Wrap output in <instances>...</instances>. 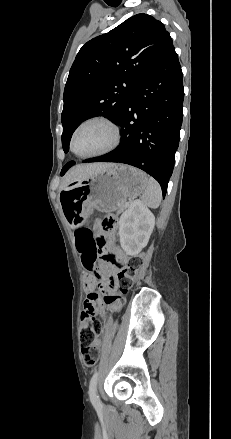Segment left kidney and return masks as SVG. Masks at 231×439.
<instances>
[{"label": "left kidney", "mask_w": 231, "mask_h": 439, "mask_svg": "<svg viewBox=\"0 0 231 439\" xmlns=\"http://www.w3.org/2000/svg\"><path fill=\"white\" fill-rule=\"evenodd\" d=\"M154 225L153 213L140 200L132 202L119 220L120 244L127 255L135 256L141 252Z\"/></svg>", "instance_id": "1"}]
</instances>
